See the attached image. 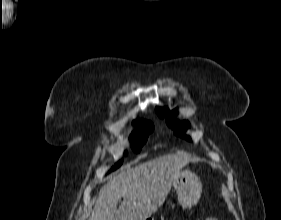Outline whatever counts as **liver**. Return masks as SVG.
I'll use <instances>...</instances> for the list:
<instances>
[{
  "label": "liver",
  "mask_w": 281,
  "mask_h": 220,
  "mask_svg": "<svg viewBox=\"0 0 281 220\" xmlns=\"http://www.w3.org/2000/svg\"><path fill=\"white\" fill-rule=\"evenodd\" d=\"M190 161L187 154L178 152L119 173L100 189L89 220H146L164 203L174 180Z\"/></svg>",
  "instance_id": "obj_1"
}]
</instances>
